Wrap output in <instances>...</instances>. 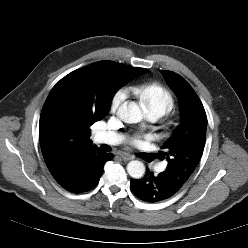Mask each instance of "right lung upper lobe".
<instances>
[{"mask_svg":"<svg viewBox=\"0 0 248 248\" xmlns=\"http://www.w3.org/2000/svg\"><path fill=\"white\" fill-rule=\"evenodd\" d=\"M117 65L100 61L75 70L49 93L40 115L39 137L53 176L81 152L92 148L89 127L105 117L120 88L110 77Z\"/></svg>","mask_w":248,"mask_h":248,"instance_id":"obj_1","label":"right lung upper lobe"}]
</instances>
